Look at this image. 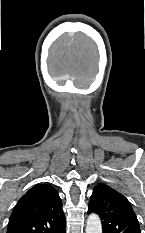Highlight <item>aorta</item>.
I'll list each match as a JSON object with an SVG mask.
<instances>
[{"label":"aorta","instance_id":"762f6f07","mask_svg":"<svg viewBox=\"0 0 145 233\" xmlns=\"http://www.w3.org/2000/svg\"><path fill=\"white\" fill-rule=\"evenodd\" d=\"M86 233H102V225L98 215L90 214L88 216Z\"/></svg>","mask_w":145,"mask_h":233}]
</instances>
